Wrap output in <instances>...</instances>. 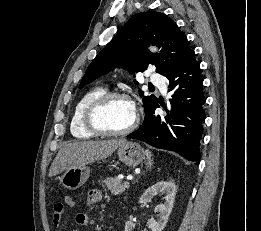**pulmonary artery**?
Returning a JSON list of instances; mask_svg holds the SVG:
<instances>
[{"label":"pulmonary artery","mask_w":261,"mask_h":231,"mask_svg":"<svg viewBox=\"0 0 261 231\" xmlns=\"http://www.w3.org/2000/svg\"><path fill=\"white\" fill-rule=\"evenodd\" d=\"M151 82L160 87V89L162 91H166V88H167V85H166V80H165V77L162 76L161 74H157V73H154L152 76H151Z\"/></svg>","instance_id":"pulmonary-artery-1"}]
</instances>
